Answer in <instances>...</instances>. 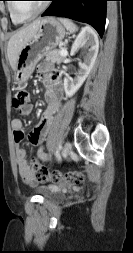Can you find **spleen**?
Wrapping results in <instances>:
<instances>
[{
    "label": "spleen",
    "mask_w": 133,
    "mask_h": 253,
    "mask_svg": "<svg viewBox=\"0 0 133 253\" xmlns=\"http://www.w3.org/2000/svg\"><path fill=\"white\" fill-rule=\"evenodd\" d=\"M59 20L66 27V29L69 30L70 32L73 33L77 30L76 25L72 21H70L69 19L60 18Z\"/></svg>",
    "instance_id": "spleen-1"
}]
</instances>
